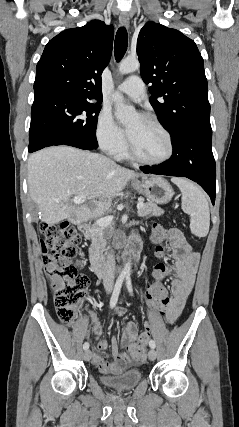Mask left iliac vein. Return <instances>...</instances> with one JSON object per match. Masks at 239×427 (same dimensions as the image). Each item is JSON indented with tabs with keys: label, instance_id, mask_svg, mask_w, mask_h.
Wrapping results in <instances>:
<instances>
[{
	"label": "left iliac vein",
	"instance_id": "1",
	"mask_svg": "<svg viewBox=\"0 0 239 427\" xmlns=\"http://www.w3.org/2000/svg\"><path fill=\"white\" fill-rule=\"evenodd\" d=\"M148 358L153 361L156 358V351L154 350V348L150 349L148 352Z\"/></svg>",
	"mask_w": 239,
	"mask_h": 427
}]
</instances>
